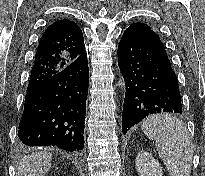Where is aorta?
Returning <instances> with one entry per match:
<instances>
[{
    "mask_svg": "<svg viewBox=\"0 0 205 176\" xmlns=\"http://www.w3.org/2000/svg\"><path fill=\"white\" fill-rule=\"evenodd\" d=\"M118 85L122 88V90L125 88V84L122 77L119 78Z\"/></svg>",
    "mask_w": 205,
    "mask_h": 176,
    "instance_id": "obj_1",
    "label": "aorta"
}]
</instances>
